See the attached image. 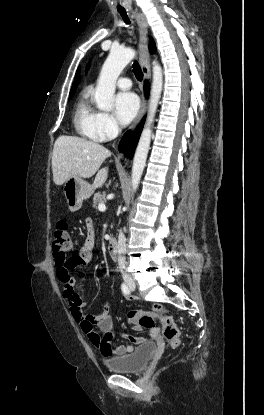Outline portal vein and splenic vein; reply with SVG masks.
Instances as JSON below:
<instances>
[{
    "label": "portal vein and splenic vein",
    "instance_id": "1",
    "mask_svg": "<svg viewBox=\"0 0 264 415\" xmlns=\"http://www.w3.org/2000/svg\"><path fill=\"white\" fill-rule=\"evenodd\" d=\"M98 209L100 212H104L106 210V206L104 203L99 204Z\"/></svg>",
    "mask_w": 264,
    "mask_h": 415
}]
</instances>
